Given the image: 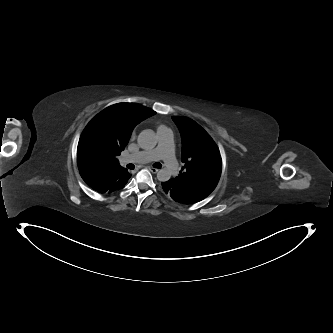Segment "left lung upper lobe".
Returning a JSON list of instances; mask_svg holds the SVG:
<instances>
[{
  "instance_id": "left-lung-upper-lobe-1",
  "label": "left lung upper lobe",
  "mask_w": 333,
  "mask_h": 333,
  "mask_svg": "<svg viewBox=\"0 0 333 333\" xmlns=\"http://www.w3.org/2000/svg\"><path fill=\"white\" fill-rule=\"evenodd\" d=\"M182 138L180 174L172 184L180 187L194 199L201 201L216 187L221 175L219 149L208 133L187 117H172Z\"/></svg>"
}]
</instances>
